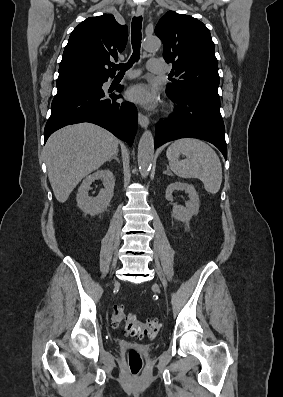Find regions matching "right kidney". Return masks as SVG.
<instances>
[{
	"mask_svg": "<svg viewBox=\"0 0 283 397\" xmlns=\"http://www.w3.org/2000/svg\"><path fill=\"white\" fill-rule=\"evenodd\" d=\"M95 180H101L104 188L100 190L98 196L89 197L88 192L91 184ZM115 178L113 173L108 170H98L93 174L86 176L80 185L77 193V205L85 213L97 215L107 209L114 195Z\"/></svg>",
	"mask_w": 283,
	"mask_h": 397,
	"instance_id": "ca27d5eb",
	"label": "right kidney"
}]
</instances>
